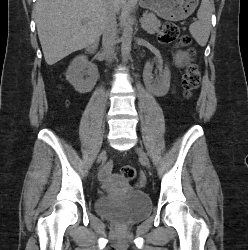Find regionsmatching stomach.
Listing matches in <instances>:
<instances>
[{"label": "stomach", "instance_id": "1", "mask_svg": "<svg viewBox=\"0 0 248 250\" xmlns=\"http://www.w3.org/2000/svg\"><path fill=\"white\" fill-rule=\"evenodd\" d=\"M198 2L199 0H139L141 7L170 21H180L189 17Z\"/></svg>", "mask_w": 248, "mask_h": 250}]
</instances>
